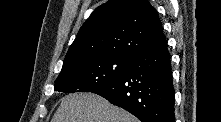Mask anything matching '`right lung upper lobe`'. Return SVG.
<instances>
[{"mask_svg":"<svg viewBox=\"0 0 221 122\" xmlns=\"http://www.w3.org/2000/svg\"><path fill=\"white\" fill-rule=\"evenodd\" d=\"M163 36L157 12L146 0H109L82 25L61 71L103 56L135 58Z\"/></svg>","mask_w":221,"mask_h":122,"instance_id":"obj_1","label":"right lung upper lobe"}]
</instances>
